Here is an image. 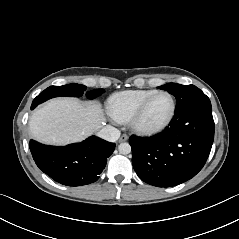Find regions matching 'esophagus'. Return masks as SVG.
<instances>
[{
	"mask_svg": "<svg viewBox=\"0 0 239 239\" xmlns=\"http://www.w3.org/2000/svg\"><path fill=\"white\" fill-rule=\"evenodd\" d=\"M127 140H128V135L127 134H123L119 139L120 142H124V141H127Z\"/></svg>",
	"mask_w": 239,
	"mask_h": 239,
	"instance_id": "1",
	"label": "esophagus"
}]
</instances>
